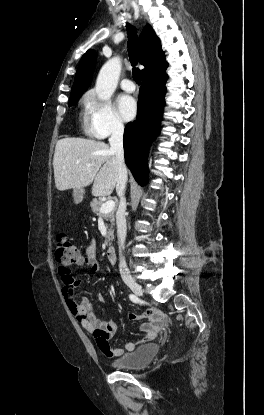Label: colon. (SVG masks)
I'll list each match as a JSON object with an SVG mask.
<instances>
[{
  "label": "colon",
  "instance_id": "5ec220e1",
  "mask_svg": "<svg viewBox=\"0 0 264 415\" xmlns=\"http://www.w3.org/2000/svg\"><path fill=\"white\" fill-rule=\"evenodd\" d=\"M56 244V260L60 264L61 269H68L71 264L79 262L84 258L67 233H58ZM66 299L70 302L74 300V292L72 290L67 292Z\"/></svg>",
  "mask_w": 264,
  "mask_h": 415
}]
</instances>
